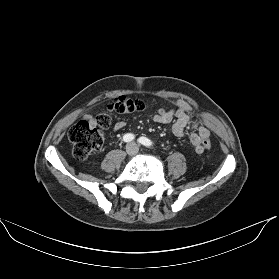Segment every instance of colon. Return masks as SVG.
Listing matches in <instances>:
<instances>
[{
	"mask_svg": "<svg viewBox=\"0 0 279 279\" xmlns=\"http://www.w3.org/2000/svg\"><path fill=\"white\" fill-rule=\"evenodd\" d=\"M147 102L142 99L120 96L108 102V109L118 114H132L145 109ZM110 126V118L101 114L94 122L82 120L69 131V139L73 145V156L78 161L86 160L91 154L101 150L104 136L101 130ZM204 147L209 150L210 139L203 140Z\"/></svg>",
	"mask_w": 279,
	"mask_h": 279,
	"instance_id": "5ec220e1",
	"label": "colon"
}]
</instances>
